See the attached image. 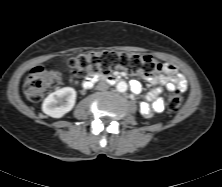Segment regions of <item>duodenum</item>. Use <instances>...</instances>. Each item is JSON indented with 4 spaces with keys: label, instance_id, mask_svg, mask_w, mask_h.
<instances>
[{
    "label": "duodenum",
    "instance_id": "410a0bca",
    "mask_svg": "<svg viewBox=\"0 0 222 187\" xmlns=\"http://www.w3.org/2000/svg\"><path fill=\"white\" fill-rule=\"evenodd\" d=\"M98 80L105 81L108 83H114V82L120 81L121 77L118 75H97V76H94V77L90 78L89 80H87L85 82V87L86 88L91 87L94 84V82H96Z\"/></svg>",
    "mask_w": 222,
    "mask_h": 187
}]
</instances>
